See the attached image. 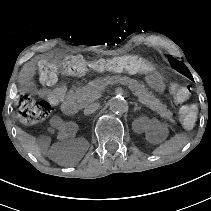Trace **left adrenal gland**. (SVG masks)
I'll list each match as a JSON object with an SVG mask.
<instances>
[{"mask_svg": "<svg viewBox=\"0 0 211 211\" xmlns=\"http://www.w3.org/2000/svg\"><path fill=\"white\" fill-rule=\"evenodd\" d=\"M134 105H135L134 112L141 110V108L139 107V105L137 103H134Z\"/></svg>", "mask_w": 211, "mask_h": 211, "instance_id": "a2214340", "label": "left adrenal gland"}]
</instances>
